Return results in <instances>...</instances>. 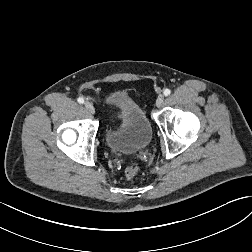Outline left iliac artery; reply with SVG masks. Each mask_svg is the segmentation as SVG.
<instances>
[{
    "label": "left iliac artery",
    "mask_w": 252,
    "mask_h": 252,
    "mask_svg": "<svg viewBox=\"0 0 252 252\" xmlns=\"http://www.w3.org/2000/svg\"><path fill=\"white\" fill-rule=\"evenodd\" d=\"M163 93L165 96H168V95H170L171 91H170V89H165Z\"/></svg>",
    "instance_id": "1"
}]
</instances>
